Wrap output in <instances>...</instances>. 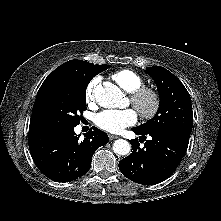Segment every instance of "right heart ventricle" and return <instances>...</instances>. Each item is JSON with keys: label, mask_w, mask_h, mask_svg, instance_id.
Here are the masks:
<instances>
[{"label": "right heart ventricle", "mask_w": 221, "mask_h": 221, "mask_svg": "<svg viewBox=\"0 0 221 221\" xmlns=\"http://www.w3.org/2000/svg\"><path fill=\"white\" fill-rule=\"evenodd\" d=\"M111 78L128 93L144 85L143 77L130 69L118 70L111 74Z\"/></svg>", "instance_id": "obj_1"}]
</instances>
